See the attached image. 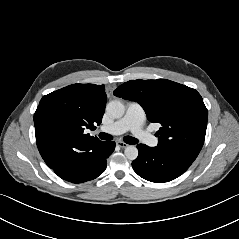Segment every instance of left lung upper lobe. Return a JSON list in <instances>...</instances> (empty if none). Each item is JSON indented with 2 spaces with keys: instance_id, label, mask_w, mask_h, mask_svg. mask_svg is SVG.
Here are the masks:
<instances>
[{
  "instance_id": "1",
  "label": "left lung upper lobe",
  "mask_w": 239,
  "mask_h": 239,
  "mask_svg": "<svg viewBox=\"0 0 239 239\" xmlns=\"http://www.w3.org/2000/svg\"><path fill=\"white\" fill-rule=\"evenodd\" d=\"M113 94L138 102L149 121L162 125L155 134L158 147L196 159L204 144L208 111L195 89L166 79H138L120 85Z\"/></svg>"
}]
</instances>
